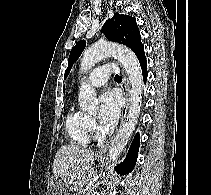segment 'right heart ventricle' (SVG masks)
Returning <instances> with one entry per match:
<instances>
[{
    "label": "right heart ventricle",
    "instance_id": "1",
    "mask_svg": "<svg viewBox=\"0 0 211 195\" xmlns=\"http://www.w3.org/2000/svg\"><path fill=\"white\" fill-rule=\"evenodd\" d=\"M88 117L85 112L75 108H72L67 115L66 130L70 139L77 145L86 146L90 142Z\"/></svg>",
    "mask_w": 211,
    "mask_h": 195
}]
</instances>
